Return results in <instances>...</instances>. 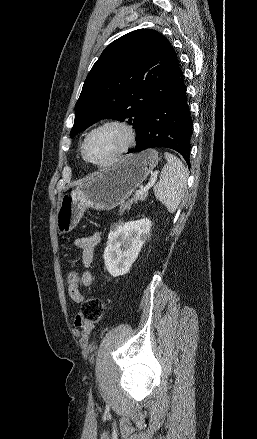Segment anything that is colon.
Here are the masks:
<instances>
[{
  "label": "colon",
  "instance_id": "obj_1",
  "mask_svg": "<svg viewBox=\"0 0 257 439\" xmlns=\"http://www.w3.org/2000/svg\"><path fill=\"white\" fill-rule=\"evenodd\" d=\"M68 285H76L79 280V274L76 271H69L66 275ZM103 315V303L97 297L86 299L80 309V317L83 321L95 324L98 323Z\"/></svg>",
  "mask_w": 257,
  "mask_h": 439
}]
</instances>
